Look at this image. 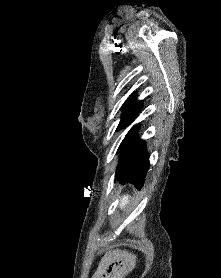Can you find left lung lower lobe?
Wrapping results in <instances>:
<instances>
[{"label":"left lung lower lobe","instance_id":"obj_1","mask_svg":"<svg viewBox=\"0 0 221 278\" xmlns=\"http://www.w3.org/2000/svg\"><path fill=\"white\" fill-rule=\"evenodd\" d=\"M138 129L139 125H135L120 144L119 151L123 152L115 177L122 180V184L130 182L140 188L149 168V155L144 141L136 138Z\"/></svg>","mask_w":221,"mask_h":278}]
</instances>
